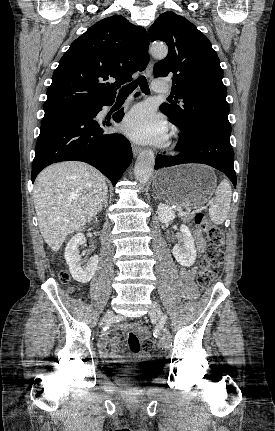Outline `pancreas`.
<instances>
[{"label":"pancreas","instance_id":"1","mask_svg":"<svg viewBox=\"0 0 275 431\" xmlns=\"http://www.w3.org/2000/svg\"><path fill=\"white\" fill-rule=\"evenodd\" d=\"M194 217L193 214H186L184 216H181V219L183 222H189L191 221V219Z\"/></svg>","mask_w":275,"mask_h":431}]
</instances>
